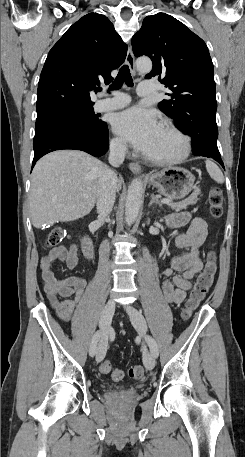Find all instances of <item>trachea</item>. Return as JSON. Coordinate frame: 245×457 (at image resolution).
<instances>
[{"instance_id":"1","label":"trachea","mask_w":245,"mask_h":457,"mask_svg":"<svg viewBox=\"0 0 245 457\" xmlns=\"http://www.w3.org/2000/svg\"><path fill=\"white\" fill-rule=\"evenodd\" d=\"M123 83H125L128 87H133L134 85L128 65H123V67H121L116 79L110 85V89L119 90L122 87Z\"/></svg>"}]
</instances>
